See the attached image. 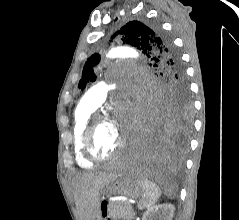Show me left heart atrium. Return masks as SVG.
<instances>
[{
  "label": "left heart atrium",
  "instance_id": "39dd6f15",
  "mask_svg": "<svg viewBox=\"0 0 239 220\" xmlns=\"http://www.w3.org/2000/svg\"><path fill=\"white\" fill-rule=\"evenodd\" d=\"M118 117H119V119H121V115L120 114H118Z\"/></svg>",
  "mask_w": 239,
  "mask_h": 220
}]
</instances>
